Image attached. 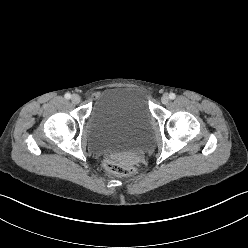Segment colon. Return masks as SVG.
I'll return each mask as SVG.
<instances>
[{
  "label": "colon",
  "instance_id": "5ec220e1",
  "mask_svg": "<svg viewBox=\"0 0 248 248\" xmlns=\"http://www.w3.org/2000/svg\"><path fill=\"white\" fill-rule=\"evenodd\" d=\"M105 171L114 176H128L134 173V169L130 166L124 165L112 158L104 160Z\"/></svg>",
  "mask_w": 248,
  "mask_h": 248
}]
</instances>
